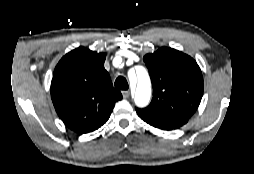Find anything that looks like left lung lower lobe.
I'll list each match as a JSON object with an SVG mask.
<instances>
[{
	"mask_svg": "<svg viewBox=\"0 0 254 174\" xmlns=\"http://www.w3.org/2000/svg\"><path fill=\"white\" fill-rule=\"evenodd\" d=\"M136 112L142 120L162 130L177 129L181 127L182 125H184L185 123H187L188 121L184 119H175V118L162 116L152 111H144V110L136 109Z\"/></svg>",
	"mask_w": 254,
	"mask_h": 174,
	"instance_id": "left-lung-lower-lobe-1",
	"label": "left lung lower lobe"
}]
</instances>
